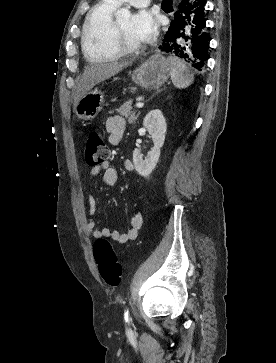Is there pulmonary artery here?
Returning a JSON list of instances; mask_svg holds the SVG:
<instances>
[{
  "mask_svg": "<svg viewBox=\"0 0 276 363\" xmlns=\"http://www.w3.org/2000/svg\"><path fill=\"white\" fill-rule=\"evenodd\" d=\"M112 1H114L117 4L127 2L134 7H146L147 5H149L151 0H112Z\"/></svg>",
  "mask_w": 276,
  "mask_h": 363,
  "instance_id": "pulmonary-artery-1",
  "label": "pulmonary artery"
}]
</instances>
